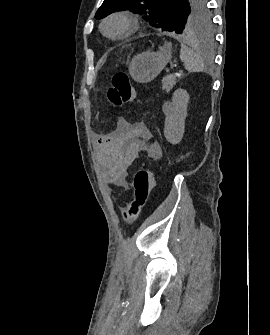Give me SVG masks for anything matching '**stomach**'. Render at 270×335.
<instances>
[{"label": "stomach", "instance_id": "0dacf381", "mask_svg": "<svg viewBox=\"0 0 270 335\" xmlns=\"http://www.w3.org/2000/svg\"><path fill=\"white\" fill-rule=\"evenodd\" d=\"M171 44H164L159 52H142L132 58L128 70L131 78L140 84L151 82L171 60Z\"/></svg>", "mask_w": 270, "mask_h": 335}]
</instances>
